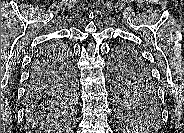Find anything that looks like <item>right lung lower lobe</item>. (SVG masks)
Instances as JSON below:
<instances>
[{"label":"right lung lower lobe","mask_w":184,"mask_h":133,"mask_svg":"<svg viewBox=\"0 0 184 133\" xmlns=\"http://www.w3.org/2000/svg\"><path fill=\"white\" fill-rule=\"evenodd\" d=\"M50 49L44 47L34 56L26 96L30 98L38 97L53 84L54 69L59 64L57 54L50 53ZM64 54L67 56V52Z\"/></svg>","instance_id":"1"}]
</instances>
